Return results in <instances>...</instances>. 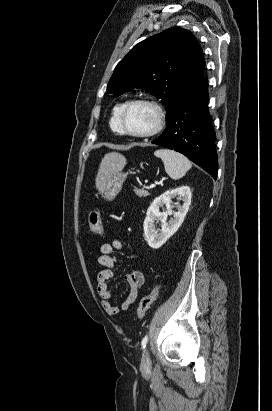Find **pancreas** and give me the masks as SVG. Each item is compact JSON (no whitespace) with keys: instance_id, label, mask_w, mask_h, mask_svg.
Returning a JSON list of instances; mask_svg holds the SVG:
<instances>
[{"instance_id":"1","label":"pancreas","mask_w":272,"mask_h":411,"mask_svg":"<svg viewBox=\"0 0 272 411\" xmlns=\"http://www.w3.org/2000/svg\"><path fill=\"white\" fill-rule=\"evenodd\" d=\"M135 193L139 197H147V196L150 195V193L148 191L144 190V189H137V190H135Z\"/></svg>"}]
</instances>
